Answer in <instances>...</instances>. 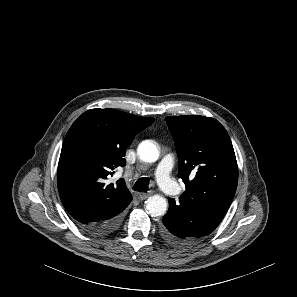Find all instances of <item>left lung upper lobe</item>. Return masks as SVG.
I'll use <instances>...</instances> for the list:
<instances>
[{"label":"left lung upper lobe","instance_id":"left-lung-upper-lobe-1","mask_svg":"<svg viewBox=\"0 0 297 297\" xmlns=\"http://www.w3.org/2000/svg\"><path fill=\"white\" fill-rule=\"evenodd\" d=\"M186 185L178 205L185 229L195 240L209 235L231 205L238 166L230 137L217 120L199 115L166 117Z\"/></svg>","mask_w":297,"mask_h":297}]
</instances>
